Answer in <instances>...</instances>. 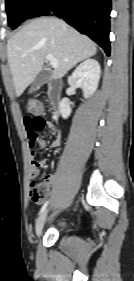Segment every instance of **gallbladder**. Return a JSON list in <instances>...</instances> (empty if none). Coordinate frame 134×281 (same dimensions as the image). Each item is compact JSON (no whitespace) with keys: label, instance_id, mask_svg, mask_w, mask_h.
Here are the masks:
<instances>
[{"label":"gallbladder","instance_id":"obj_1","mask_svg":"<svg viewBox=\"0 0 134 281\" xmlns=\"http://www.w3.org/2000/svg\"><path fill=\"white\" fill-rule=\"evenodd\" d=\"M51 78V73L45 69L41 70L36 76L31 88L30 93L38 90L43 84L47 83Z\"/></svg>","mask_w":134,"mask_h":281}]
</instances>
